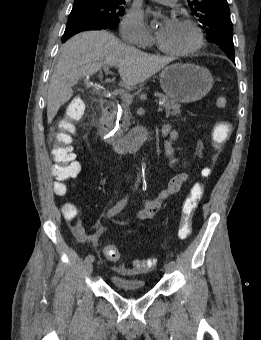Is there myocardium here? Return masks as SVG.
I'll return each mask as SVG.
<instances>
[{
    "mask_svg": "<svg viewBox=\"0 0 261 340\" xmlns=\"http://www.w3.org/2000/svg\"><path fill=\"white\" fill-rule=\"evenodd\" d=\"M180 23L189 26L194 31V34H195V37H196L195 44L189 49L181 50V51H175V50H170V49L165 48L161 44V42L159 40H157V47L161 52L168 54V55H172V56L187 57V56L194 55L196 52H198L202 48V46L204 44L203 31H202L201 27L195 21H193L191 19H187V18L182 19L180 21Z\"/></svg>",
    "mask_w": 261,
    "mask_h": 340,
    "instance_id": "myocardium-1",
    "label": "myocardium"
}]
</instances>
